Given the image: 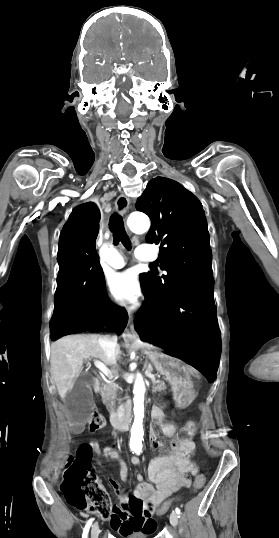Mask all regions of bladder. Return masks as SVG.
Instances as JSON below:
<instances>
[{"mask_svg": "<svg viewBox=\"0 0 279 538\" xmlns=\"http://www.w3.org/2000/svg\"><path fill=\"white\" fill-rule=\"evenodd\" d=\"M129 538H147L146 532H130Z\"/></svg>", "mask_w": 279, "mask_h": 538, "instance_id": "bladder-1", "label": "bladder"}]
</instances>
